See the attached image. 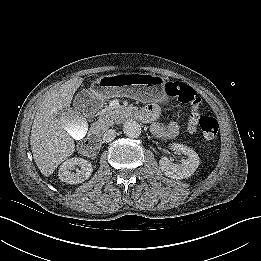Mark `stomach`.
Masks as SVG:
<instances>
[{"mask_svg": "<svg viewBox=\"0 0 261 261\" xmlns=\"http://www.w3.org/2000/svg\"><path fill=\"white\" fill-rule=\"evenodd\" d=\"M165 80L151 74L124 73L100 77L91 85V110L98 109L105 99L130 97L143 102L163 101Z\"/></svg>", "mask_w": 261, "mask_h": 261, "instance_id": "1", "label": "stomach"}]
</instances>
